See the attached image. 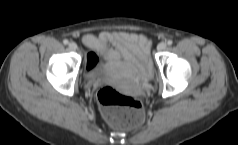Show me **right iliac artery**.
<instances>
[{
    "label": "right iliac artery",
    "instance_id": "1",
    "mask_svg": "<svg viewBox=\"0 0 238 145\" xmlns=\"http://www.w3.org/2000/svg\"><path fill=\"white\" fill-rule=\"evenodd\" d=\"M63 43H64L65 45H67V44L69 43V41H68L67 39H65V40L63 41Z\"/></svg>",
    "mask_w": 238,
    "mask_h": 145
}]
</instances>
